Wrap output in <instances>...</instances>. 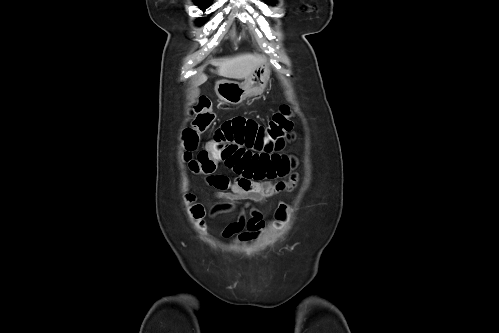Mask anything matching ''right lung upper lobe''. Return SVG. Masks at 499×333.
I'll use <instances>...</instances> for the list:
<instances>
[{
	"label": "right lung upper lobe",
	"mask_w": 499,
	"mask_h": 333,
	"mask_svg": "<svg viewBox=\"0 0 499 333\" xmlns=\"http://www.w3.org/2000/svg\"><path fill=\"white\" fill-rule=\"evenodd\" d=\"M196 2H206L207 0H195Z\"/></svg>",
	"instance_id": "1"
}]
</instances>
